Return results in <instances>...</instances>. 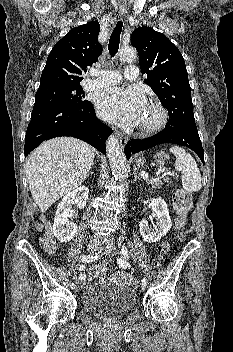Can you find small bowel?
<instances>
[{
	"label": "small bowel",
	"instance_id": "1",
	"mask_svg": "<svg viewBox=\"0 0 233 352\" xmlns=\"http://www.w3.org/2000/svg\"><path fill=\"white\" fill-rule=\"evenodd\" d=\"M118 264L122 269H128L130 268L129 262L127 260V252L126 250H123V256L118 260ZM79 274L76 276V280L82 284L85 285L86 282V275L84 274L85 266L80 265L79 266Z\"/></svg>",
	"mask_w": 233,
	"mask_h": 352
}]
</instances>
